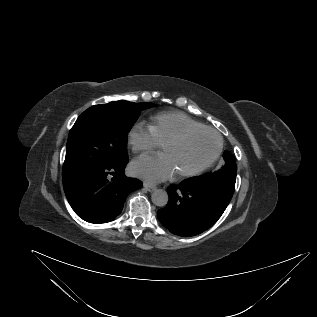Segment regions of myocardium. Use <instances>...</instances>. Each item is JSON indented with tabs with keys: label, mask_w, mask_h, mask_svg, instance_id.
Wrapping results in <instances>:
<instances>
[{
	"label": "myocardium",
	"mask_w": 317,
	"mask_h": 317,
	"mask_svg": "<svg viewBox=\"0 0 317 317\" xmlns=\"http://www.w3.org/2000/svg\"><path fill=\"white\" fill-rule=\"evenodd\" d=\"M201 132H208V133L215 135L217 137V140H218L217 148H216L215 152L213 153V155L206 162H204L202 165H200L199 167L192 169L190 171H184V172L177 173V176L179 178H187V177L199 175L202 172H204L205 170H207L209 167H211L214 164V162L218 159V157L220 156V154L223 150V145H224L223 138L217 130L204 126V127H200V128L186 129L162 144V148H164L166 146L177 145V144L183 142L189 136L196 134V133H201Z\"/></svg>",
	"instance_id": "f54148a6"
}]
</instances>
